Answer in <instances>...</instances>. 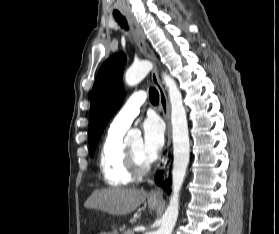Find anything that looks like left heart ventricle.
<instances>
[{"mask_svg": "<svg viewBox=\"0 0 279 234\" xmlns=\"http://www.w3.org/2000/svg\"><path fill=\"white\" fill-rule=\"evenodd\" d=\"M129 147L134 151L138 159L145 163L149 161V158L146 156L144 149H143V141L141 139L133 141Z\"/></svg>", "mask_w": 279, "mask_h": 234, "instance_id": "1", "label": "left heart ventricle"}]
</instances>
